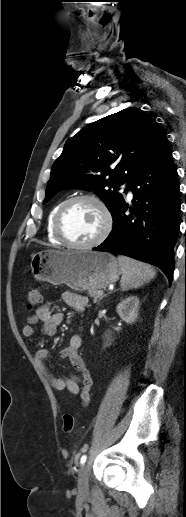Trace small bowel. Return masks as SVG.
I'll return each instance as SVG.
<instances>
[{"mask_svg": "<svg viewBox=\"0 0 186 517\" xmlns=\"http://www.w3.org/2000/svg\"><path fill=\"white\" fill-rule=\"evenodd\" d=\"M61 299L65 304L75 308L77 311H82L88 305V299L85 296L72 292H64ZM62 321L63 314L61 312H54L49 304H44L27 317V322L22 328V334L25 337H33L35 327L40 324L42 333L52 337L57 334L58 327ZM82 343V336L74 334L71 336L68 345L59 352L60 358H68L70 360L72 366L79 373L78 376L72 375L68 378L54 376L46 365L51 358V354L45 348H39L35 352L34 357L53 389L65 391L69 395H79L81 405L87 406L91 400L92 377L79 354Z\"/></svg>", "mask_w": 186, "mask_h": 517, "instance_id": "small-bowel-1", "label": "small bowel"}]
</instances>
